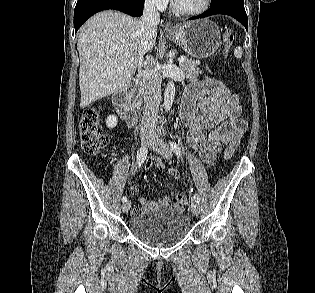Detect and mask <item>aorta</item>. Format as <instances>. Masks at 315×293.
<instances>
[{
  "label": "aorta",
  "mask_w": 315,
  "mask_h": 293,
  "mask_svg": "<svg viewBox=\"0 0 315 293\" xmlns=\"http://www.w3.org/2000/svg\"><path fill=\"white\" fill-rule=\"evenodd\" d=\"M174 96H175V85L173 81H169L164 92L163 106H164L165 111L170 110L173 104Z\"/></svg>",
  "instance_id": "obj_1"
}]
</instances>
